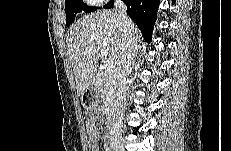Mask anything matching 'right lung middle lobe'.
<instances>
[{
  "instance_id": "obj_1",
  "label": "right lung middle lobe",
  "mask_w": 231,
  "mask_h": 151,
  "mask_svg": "<svg viewBox=\"0 0 231 151\" xmlns=\"http://www.w3.org/2000/svg\"><path fill=\"white\" fill-rule=\"evenodd\" d=\"M94 10L96 9L83 4L82 0L65 1L66 25H70L80 12L85 11L86 13H88Z\"/></svg>"
}]
</instances>
